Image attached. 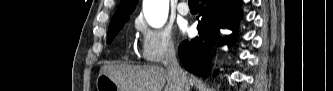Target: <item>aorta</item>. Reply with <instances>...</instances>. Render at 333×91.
<instances>
[{
	"label": "aorta",
	"mask_w": 333,
	"mask_h": 91,
	"mask_svg": "<svg viewBox=\"0 0 333 91\" xmlns=\"http://www.w3.org/2000/svg\"><path fill=\"white\" fill-rule=\"evenodd\" d=\"M169 0H144L143 11L147 22L155 28L162 27L168 17Z\"/></svg>",
	"instance_id": "762f6f07"
}]
</instances>
